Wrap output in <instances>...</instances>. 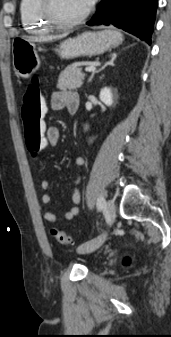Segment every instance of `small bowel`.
I'll list each match as a JSON object with an SVG mask.
<instances>
[{
	"mask_svg": "<svg viewBox=\"0 0 171 337\" xmlns=\"http://www.w3.org/2000/svg\"><path fill=\"white\" fill-rule=\"evenodd\" d=\"M73 104H77L79 107V96L76 93L68 91V90H58L52 93L50 97L49 108L52 111H59L64 108L68 110L69 106ZM45 134H46L47 141L51 146H56L58 144L60 140V130L58 127L52 126V125L46 127ZM73 164L76 167H84L86 164L85 158L82 156H76L73 159ZM79 183H80V178H78L75 181L74 185L72 186L71 201L73 204L62 214L66 220L73 219L80 212L78 205L81 202L82 197H81V192L79 188ZM40 186L42 190L47 191L50 187V182L47 179H43L41 180ZM51 200L52 198L50 194L48 193H44L41 196V201L43 204H50ZM44 218L47 222L52 223V224L57 222V216L55 212L51 209L45 212Z\"/></svg>",
	"mask_w": 171,
	"mask_h": 337,
	"instance_id": "obj_1",
	"label": "small bowel"
}]
</instances>
